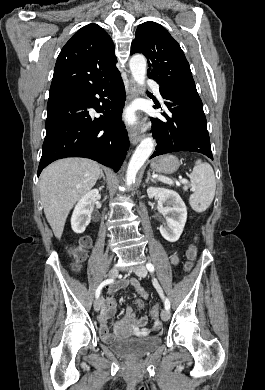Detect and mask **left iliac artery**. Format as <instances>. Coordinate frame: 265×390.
Instances as JSON below:
<instances>
[{"label": "left iliac artery", "instance_id": "44dca946", "mask_svg": "<svg viewBox=\"0 0 265 390\" xmlns=\"http://www.w3.org/2000/svg\"><path fill=\"white\" fill-rule=\"evenodd\" d=\"M146 267H147L149 272H154V270H155L153 264H151V263H147ZM154 285H155L156 289L158 290V292L160 293L161 297L165 298V309L169 310L170 309V301L166 297H164L162 289L157 281H154Z\"/></svg>", "mask_w": 265, "mask_h": 390}]
</instances>
